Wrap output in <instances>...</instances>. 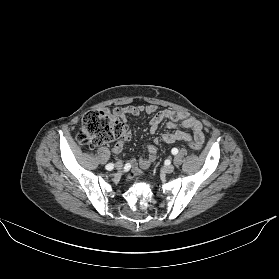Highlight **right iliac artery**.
I'll list each match as a JSON object with an SVG mask.
<instances>
[{
	"mask_svg": "<svg viewBox=\"0 0 279 279\" xmlns=\"http://www.w3.org/2000/svg\"><path fill=\"white\" fill-rule=\"evenodd\" d=\"M113 168H114V164H112V163H109L106 165L107 170H112Z\"/></svg>",
	"mask_w": 279,
	"mask_h": 279,
	"instance_id": "82829eb1",
	"label": "right iliac artery"
}]
</instances>
